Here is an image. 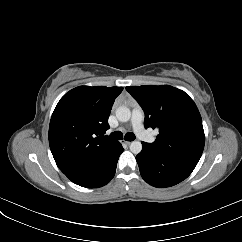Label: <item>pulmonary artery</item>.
I'll list each match as a JSON object with an SVG mask.
<instances>
[{
    "mask_svg": "<svg viewBox=\"0 0 242 242\" xmlns=\"http://www.w3.org/2000/svg\"><path fill=\"white\" fill-rule=\"evenodd\" d=\"M144 113L140 108H135L132 111L131 123L135 133L147 142H152L153 138L150 137L143 125Z\"/></svg>",
    "mask_w": 242,
    "mask_h": 242,
    "instance_id": "e3ab8cb5",
    "label": "pulmonary artery"
}]
</instances>
